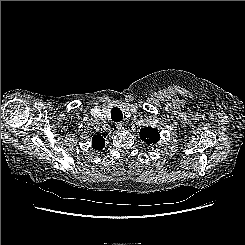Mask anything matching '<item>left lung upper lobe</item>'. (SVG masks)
<instances>
[{"label": "left lung upper lobe", "mask_w": 245, "mask_h": 245, "mask_svg": "<svg viewBox=\"0 0 245 245\" xmlns=\"http://www.w3.org/2000/svg\"><path fill=\"white\" fill-rule=\"evenodd\" d=\"M140 139L149 144H154L159 141L160 136L157 129L145 127L140 129Z\"/></svg>", "instance_id": "left-lung-upper-lobe-1"}]
</instances>
